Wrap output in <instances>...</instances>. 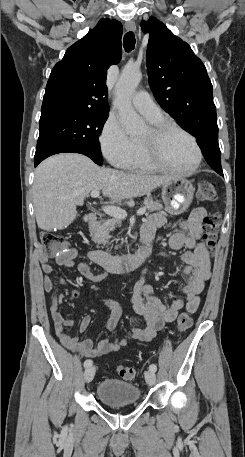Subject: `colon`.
Wrapping results in <instances>:
<instances>
[{"mask_svg": "<svg viewBox=\"0 0 245 457\" xmlns=\"http://www.w3.org/2000/svg\"><path fill=\"white\" fill-rule=\"evenodd\" d=\"M197 195L200 200L212 202L217 197L216 185L213 182L204 181L199 183ZM221 218L218 213H211L204 220V247L212 250L217 242ZM41 242L44 246L45 253L48 256L67 254L70 252L68 243L65 238L54 233L45 231L41 234ZM192 318L187 313H181L177 319L176 330L179 333L187 331L192 326ZM119 375L125 380H133L137 376V371L131 366H119Z\"/></svg>", "mask_w": 245, "mask_h": 457, "instance_id": "colon-1", "label": "colon"}]
</instances>
